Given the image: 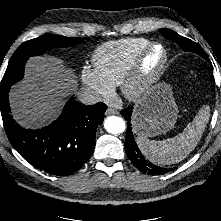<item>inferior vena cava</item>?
<instances>
[{"instance_id": "obj_1", "label": "inferior vena cava", "mask_w": 221, "mask_h": 221, "mask_svg": "<svg viewBox=\"0 0 221 221\" xmlns=\"http://www.w3.org/2000/svg\"><path fill=\"white\" fill-rule=\"evenodd\" d=\"M78 99L86 105H93L102 100L101 96L90 88H81L78 92Z\"/></svg>"}]
</instances>
